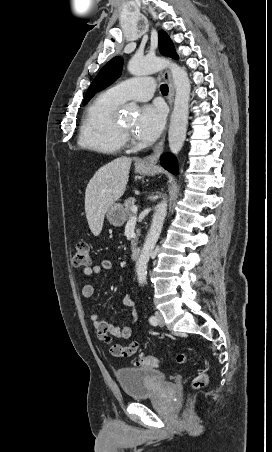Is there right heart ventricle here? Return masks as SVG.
<instances>
[{"mask_svg": "<svg viewBox=\"0 0 272 452\" xmlns=\"http://www.w3.org/2000/svg\"><path fill=\"white\" fill-rule=\"evenodd\" d=\"M121 102L108 91L99 94L87 108L80 127L78 145L86 150L113 154L124 146L117 131L115 112Z\"/></svg>", "mask_w": 272, "mask_h": 452, "instance_id": "1", "label": "right heart ventricle"}]
</instances>
